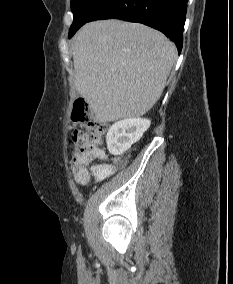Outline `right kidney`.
Listing matches in <instances>:
<instances>
[{
  "instance_id": "right-kidney-1",
  "label": "right kidney",
  "mask_w": 233,
  "mask_h": 284,
  "mask_svg": "<svg viewBox=\"0 0 233 284\" xmlns=\"http://www.w3.org/2000/svg\"><path fill=\"white\" fill-rule=\"evenodd\" d=\"M151 121L143 118H130L114 123L106 136L107 147L112 155H121L142 137Z\"/></svg>"
}]
</instances>
